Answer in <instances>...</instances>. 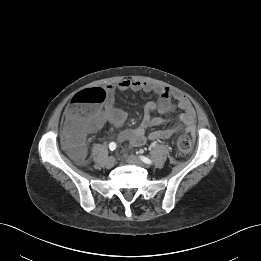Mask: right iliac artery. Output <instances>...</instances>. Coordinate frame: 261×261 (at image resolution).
Segmentation results:
<instances>
[{
    "instance_id": "1",
    "label": "right iliac artery",
    "mask_w": 261,
    "mask_h": 261,
    "mask_svg": "<svg viewBox=\"0 0 261 261\" xmlns=\"http://www.w3.org/2000/svg\"><path fill=\"white\" fill-rule=\"evenodd\" d=\"M109 148H110V150H115L116 149V143L115 142H111L110 144H109Z\"/></svg>"
}]
</instances>
